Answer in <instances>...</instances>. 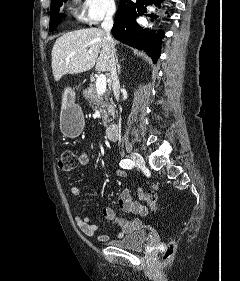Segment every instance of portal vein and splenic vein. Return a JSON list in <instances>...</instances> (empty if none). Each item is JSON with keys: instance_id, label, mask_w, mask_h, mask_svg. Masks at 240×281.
<instances>
[{"instance_id": "portal-vein-and-splenic-vein-1", "label": "portal vein and splenic vein", "mask_w": 240, "mask_h": 281, "mask_svg": "<svg viewBox=\"0 0 240 281\" xmlns=\"http://www.w3.org/2000/svg\"><path fill=\"white\" fill-rule=\"evenodd\" d=\"M96 91L99 95L106 92V77L103 74H100L96 80Z\"/></svg>"}]
</instances>
